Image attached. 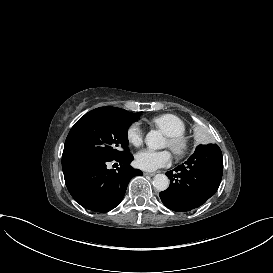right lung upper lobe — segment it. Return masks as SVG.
Here are the masks:
<instances>
[{
    "label": "right lung upper lobe",
    "instance_id": "right-lung-upper-lobe-1",
    "mask_svg": "<svg viewBox=\"0 0 273 273\" xmlns=\"http://www.w3.org/2000/svg\"><path fill=\"white\" fill-rule=\"evenodd\" d=\"M101 109L108 110L114 113L119 114L120 116L129 119V120H137L139 116L141 115V112L138 113H130L124 109L116 108V107H100Z\"/></svg>",
    "mask_w": 273,
    "mask_h": 273
}]
</instances>
